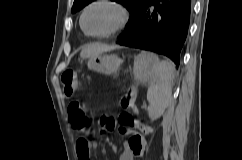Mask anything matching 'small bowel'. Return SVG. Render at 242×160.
Instances as JSON below:
<instances>
[{"label": "small bowel", "instance_id": "1", "mask_svg": "<svg viewBox=\"0 0 242 160\" xmlns=\"http://www.w3.org/2000/svg\"><path fill=\"white\" fill-rule=\"evenodd\" d=\"M69 118L75 128L83 129L81 127H77L74 124L70 111ZM101 124L103 129L106 131H113L115 129H117L120 133H125L127 131V126H123L120 123H117L113 117H104L101 121ZM134 126L138 128L140 132H133L127 139H125L124 150L121 153L119 160H135L136 157H141L144 154L146 147V139L144 133L147 132L148 128L146 125L139 122H136ZM95 147V141L89 140L87 138H80L76 145L79 160H91V150Z\"/></svg>", "mask_w": 242, "mask_h": 160}]
</instances>
